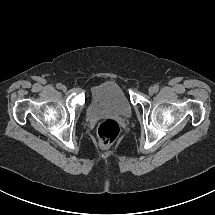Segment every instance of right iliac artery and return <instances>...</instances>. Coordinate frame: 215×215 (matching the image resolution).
Wrapping results in <instances>:
<instances>
[{"mask_svg":"<svg viewBox=\"0 0 215 215\" xmlns=\"http://www.w3.org/2000/svg\"><path fill=\"white\" fill-rule=\"evenodd\" d=\"M56 87H57L58 89H61L62 84H61V83H58V84L56 85Z\"/></svg>","mask_w":215,"mask_h":215,"instance_id":"obj_1","label":"right iliac artery"}]
</instances>
